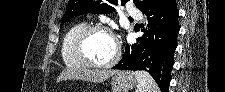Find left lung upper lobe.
<instances>
[{
  "instance_id": "obj_1",
  "label": "left lung upper lobe",
  "mask_w": 225,
  "mask_h": 92,
  "mask_svg": "<svg viewBox=\"0 0 225 92\" xmlns=\"http://www.w3.org/2000/svg\"><path fill=\"white\" fill-rule=\"evenodd\" d=\"M128 0H69L66 12L61 19V26L73 16L85 13H112L113 5H124ZM159 0H133L134 4L142 12L151 9Z\"/></svg>"
}]
</instances>
